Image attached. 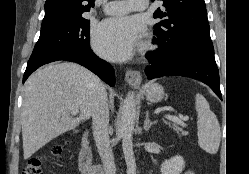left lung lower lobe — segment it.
Masks as SVG:
<instances>
[{
	"label": "left lung lower lobe",
	"mask_w": 249,
	"mask_h": 174,
	"mask_svg": "<svg viewBox=\"0 0 249 174\" xmlns=\"http://www.w3.org/2000/svg\"><path fill=\"white\" fill-rule=\"evenodd\" d=\"M146 58L150 63L146 69L149 80L163 76L190 77L207 84L222 99L213 45L193 48L178 54L167 53L160 47L149 52Z\"/></svg>",
	"instance_id": "0a47b994"
}]
</instances>
